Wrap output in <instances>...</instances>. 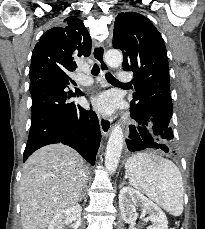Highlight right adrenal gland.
Masks as SVG:
<instances>
[{
	"mask_svg": "<svg viewBox=\"0 0 205 229\" xmlns=\"http://www.w3.org/2000/svg\"><path fill=\"white\" fill-rule=\"evenodd\" d=\"M85 187H86V185H85ZM84 196H85V188H84V190H83V192H82V194H81V196H80V201L84 198Z\"/></svg>",
	"mask_w": 205,
	"mask_h": 229,
	"instance_id": "2a0ac1e0",
	"label": "right adrenal gland"
}]
</instances>
